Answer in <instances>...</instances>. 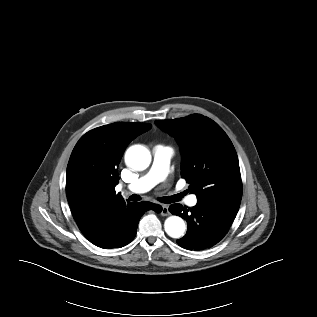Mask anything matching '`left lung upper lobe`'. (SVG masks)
I'll list each match as a JSON object with an SVG mask.
<instances>
[{
    "mask_svg": "<svg viewBox=\"0 0 317 317\" xmlns=\"http://www.w3.org/2000/svg\"><path fill=\"white\" fill-rule=\"evenodd\" d=\"M181 149V176L197 198L241 201L242 181L235 148L222 128L199 114L155 121Z\"/></svg>",
    "mask_w": 317,
    "mask_h": 317,
    "instance_id": "5c2ea615",
    "label": "left lung upper lobe"
}]
</instances>
